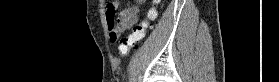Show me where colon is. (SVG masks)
Listing matches in <instances>:
<instances>
[{
  "label": "colon",
  "mask_w": 279,
  "mask_h": 82,
  "mask_svg": "<svg viewBox=\"0 0 279 82\" xmlns=\"http://www.w3.org/2000/svg\"><path fill=\"white\" fill-rule=\"evenodd\" d=\"M158 2V1H154ZM157 12L154 8L147 11L143 21L133 26L132 33L119 39V53L122 56L127 55L132 49L136 48L138 43L145 37L149 22L156 18Z\"/></svg>",
  "instance_id": "colon-1"
}]
</instances>
